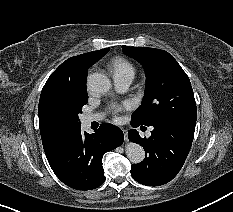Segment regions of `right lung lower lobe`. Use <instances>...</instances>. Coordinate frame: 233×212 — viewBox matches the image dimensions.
<instances>
[{
    "label": "right lung lower lobe",
    "instance_id": "right-lung-lower-lobe-1",
    "mask_svg": "<svg viewBox=\"0 0 233 212\" xmlns=\"http://www.w3.org/2000/svg\"><path fill=\"white\" fill-rule=\"evenodd\" d=\"M122 143L123 132L112 124H101L93 134L82 133L80 127L69 132L46 157L64 184L78 190H92L105 181L103 155Z\"/></svg>",
    "mask_w": 233,
    "mask_h": 212
}]
</instances>
